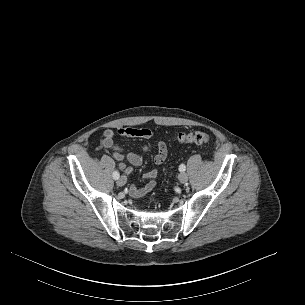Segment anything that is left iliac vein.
I'll return each mask as SVG.
<instances>
[{
  "label": "left iliac vein",
  "instance_id": "obj_1",
  "mask_svg": "<svg viewBox=\"0 0 305 305\" xmlns=\"http://www.w3.org/2000/svg\"><path fill=\"white\" fill-rule=\"evenodd\" d=\"M178 179L181 183H186L188 180V175L185 172H181L178 176Z\"/></svg>",
  "mask_w": 305,
  "mask_h": 305
}]
</instances>
